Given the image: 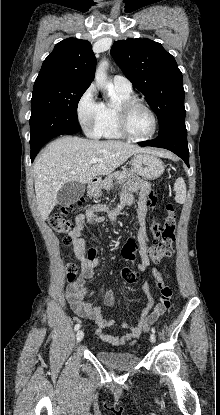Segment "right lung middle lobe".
Instances as JSON below:
<instances>
[{
    "label": "right lung middle lobe",
    "mask_w": 220,
    "mask_h": 415,
    "mask_svg": "<svg viewBox=\"0 0 220 415\" xmlns=\"http://www.w3.org/2000/svg\"><path fill=\"white\" fill-rule=\"evenodd\" d=\"M87 88L60 82L34 84L30 117L31 150L41 148L56 136L79 131L77 106Z\"/></svg>",
    "instance_id": "obj_1"
}]
</instances>
